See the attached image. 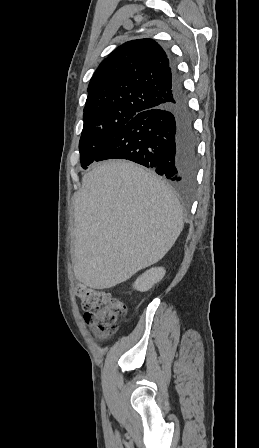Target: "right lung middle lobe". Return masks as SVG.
<instances>
[{"instance_id": "right-lung-middle-lobe-1", "label": "right lung middle lobe", "mask_w": 259, "mask_h": 448, "mask_svg": "<svg viewBox=\"0 0 259 448\" xmlns=\"http://www.w3.org/2000/svg\"><path fill=\"white\" fill-rule=\"evenodd\" d=\"M138 111H122L117 113L84 114V125L79 142L82 168L86 169L118 132L137 114Z\"/></svg>"}]
</instances>
